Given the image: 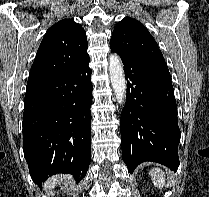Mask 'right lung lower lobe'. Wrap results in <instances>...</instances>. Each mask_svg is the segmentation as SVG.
Returning <instances> with one entry per match:
<instances>
[{"label":"right lung lower lobe","instance_id":"98d812e1","mask_svg":"<svg viewBox=\"0 0 209 197\" xmlns=\"http://www.w3.org/2000/svg\"><path fill=\"white\" fill-rule=\"evenodd\" d=\"M89 56L72 69L27 87L23 151L37 184L48 175L69 173L83 179L91 161L92 83Z\"/></svg>","mask_w":209,"mask_h":197}]
</instances>
